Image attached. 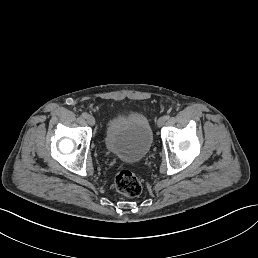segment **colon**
Segmentation results:
<instances>
[{
  "instance_id": "5ec220e1",
  "label": "colon",
  "mask_w": 258,
  "mask_h": 258,
  "mask_svg": "<svg viewBox=\"0 0 258 258\" xmlns=\"http://www.w3.org/2000/svg\"><path fill=\"white\" fill-rule=\"evenodd\" d=\"M117 191L128 197H136L141 193V183L135 174L126 166L120 165L114 178Z\"/></svg>"
}]
</instances>
